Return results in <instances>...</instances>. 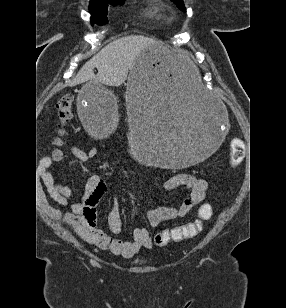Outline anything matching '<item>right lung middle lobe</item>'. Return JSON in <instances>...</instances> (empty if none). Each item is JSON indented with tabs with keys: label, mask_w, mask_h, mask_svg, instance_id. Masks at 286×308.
<instances>
[{
	"label": "right lung middle lobe",
	"mask_w": 286,
	"mask_h": 308,
	"mask_svg": "<svg viewBox=\"0 0 286 308\" xmlns=\"http://www.w3.org/2000/svg\"><path fill=\"white\" fill-rule=\"evenodd\" d=\"M124 0H112L105 3H90L89 10L91 14V22L99 25L107 22L108 5H122Z\"/></svg>",
	"instance_id": "right-lung-middle-lobe-1"
}]
</instances>
